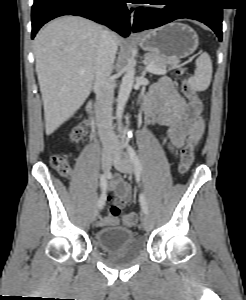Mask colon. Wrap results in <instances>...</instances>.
I'll list each match as a JSON object with an SVG mask.
<instances>
[{
	"label": "colon",
	"instance_id": "obj_1",
	"mask_svg": "<svg viewBox=\"0 0 246 300\" xmlns=\"http://www.w3.org/2000/svg\"><path fill=\"white\" fill-rule=\"evenodd\" d=\"M178 74L183 75L182 69L178 70ZM182 91L186 98L193 104L199 105L200 99L197 92L191 87L187 79L182 82ZM85 133L84 126L77 127L72 133V140L79 142L83 139ZM197 147L196 136L190 137L184 147L181 149L179 157L178 171L180 174H185L191 167L195 159V150ZM51 166L62 175H68L71 172L70 165L62 154H55L50 158ZM110 215L113 217L120 216V208L112 206L110 208ZM138 221V216L135 213H126L121 216V222L124 226H134Z\"/></svg>",
	"mask_w": 246,
	"mask_h": 300
}]
</instances>
